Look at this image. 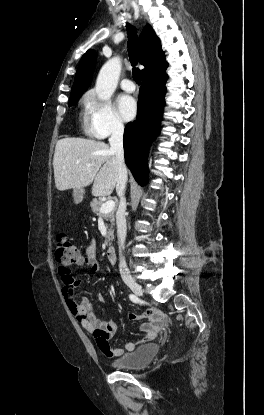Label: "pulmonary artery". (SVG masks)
<instances>
[{
	"label": "pulmonary artery",
	"mask_w": 264,
	"mask_h": 415,
	"mask_svg": "<svg viewBox=\"0 0 264 415\" xmlns=\"http://www.w3.org/2000/svg\"><path fill=\"white\" fill-rule=\"evenodd\" d=\"M120 86L126 92H133L135 90V84L130 79H123Z\"/></svg>",
	"instance_id": "e3ab8cb5"
}]
</instances>
